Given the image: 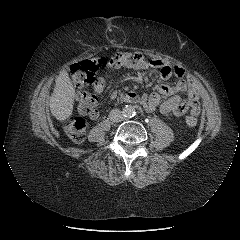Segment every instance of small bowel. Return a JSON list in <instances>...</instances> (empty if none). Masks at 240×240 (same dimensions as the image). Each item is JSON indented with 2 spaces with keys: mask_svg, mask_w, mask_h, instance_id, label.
<instances>
[{
  "mask_svg": "<svg viewBox=\"0 0 240 240\" xmlns=\"http://www.w3.org/2000/svg\"><path fill=\"white\" fill-rule=\"evenodd\" d=\"M108 66L120 69H134L136 71H154L157 72L162 80H167L176 76L179 80L172 86L162 84L158 87V92L152 94H142L139 102L149 111L159 110L163 114H173L176 117H182L186 113L197 117L200 113L199 93L195 80L186 74L185 69L177 64L162 59L146 60L142 53L118 52L108 61ZM105 88L104 78H98L93 85L95 93L101 94ZM187 92V96H181L180 93ZM119 97L117 91H112L109 95L111 100ZM163 97H168L163 100ZM101 114L100 110H95L90 117L97 119Z\"/></svg>",
  "mask_w": 240,
  "mask_h": 240,
  "instance_id": "c3829d8e",
  "label": "small bowel"
}]
</instances>
